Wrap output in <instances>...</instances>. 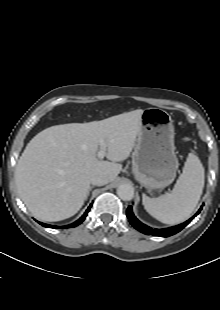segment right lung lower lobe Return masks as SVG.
Returning <instances> with one entry per match:
<instances>
[{"label": "right lung lower lobe", "instance_id": "98d812e1", "mask_svg": "<svg viewBox=\"0 0 220 310\" xmlns=\"http://www.w3.org/2000/svg\"><path fill=\"white\" fill-rule=\"evenodd\" d=\"M91 206H92V204L87 208V210L82 215V217L80 219H78L76 222H74L73 224H71V225L58 227V226H52V225L44 224V223H41V222H40V224L42 226H44V227H47V228H69V227H76V226H78L79 224H81L84 221V219L86 218V216H87Z\"/></svg>", "mask_w": 220, "mask_h": 310}]
</instances>
